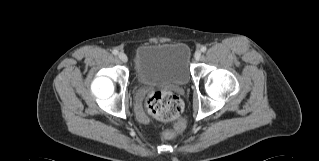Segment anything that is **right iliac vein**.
I'll return each mask as SVG.
<instances>
[{"label": "right iliac vein", "instance_id": "right-iliac-vein-1", "mask_svg": "<svg viewBox=\"0 0 319 161\" xmlns=\"http://www.w3.org/2000/svg\"><path fill=\"white\" fill-rule=\"evenodd\" d=\"M118 58L123 62V63H126L128 61V57L125 53L123 52H120L118 54Z\"/></svg>", "mask_w": 319, "mask_h": 161}]
</instances>
